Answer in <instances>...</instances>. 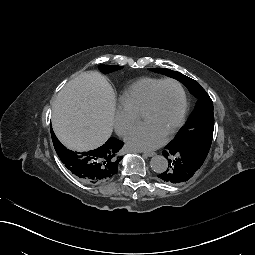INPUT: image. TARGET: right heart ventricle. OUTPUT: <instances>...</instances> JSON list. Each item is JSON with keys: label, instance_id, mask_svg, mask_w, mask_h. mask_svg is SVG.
I'll return each mask as SVG.
<instances>
[{"label": "right heart ventricle", "instance_id": "obj_1", "mask_svg": "<svg viewBox=\"0 0 255 255\" xmlns=\"http://www.w3.org/2000/svg\"><path fill=\"white\" fill-rule=\"evenodd\" d=\"M160 81V78L153 77L137 80L118 95L119 106L139 115L151 89Z\"/></svg>", "mask_w": 255, "mask_h": 255}]
</instances>
